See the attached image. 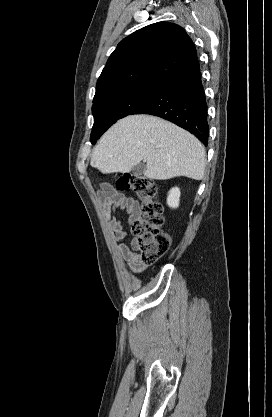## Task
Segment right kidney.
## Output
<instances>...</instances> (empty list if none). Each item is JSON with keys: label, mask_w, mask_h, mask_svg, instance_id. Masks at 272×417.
I'll list each match as a JSON object with an SVG mask.
<instances>
[{"label": "right kidney", "mask_w": 272, "mask_h": 417, "mask_svg": "<svg viewBox=\"0 0 272 417\" xmlns=\"http://www.w3.org/2000/svg\"><path fill=\"white\" fill-rule=\"evenodd\" d=\"M180 189L178 187H174L169 191L167 197V204L170 208H178L179 201H180Z\"/></svg>", "instance_id": "obj_1"}]
</instances>
